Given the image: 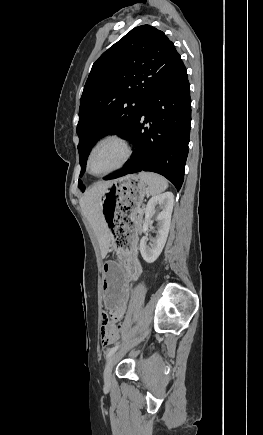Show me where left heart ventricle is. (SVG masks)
<instances>
[{
  "mask_svg": "<svg viewBox=\"0 0 263 435\" xmlns=\"http://www.w3.org/2000/svg\"><path fill=\"white\" fill-rule=\"evenodd\" d=\"M124 155L123 148L115 142L100 145L90 160V170L94 174L104 173L117 166Z\"/></svg>",
  "mask_w": 263,
  "mask_h": 435,
  "instance_id": "b2bd125f",
  "label": "left heart ventricle"
}]
</instances>
